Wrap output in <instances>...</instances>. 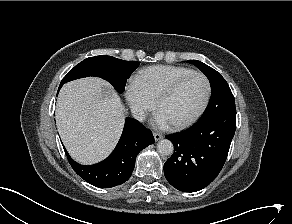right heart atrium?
Segmentation results:
<instances>
[{
  "label": "right heart atrium",
  "mask_w": 292,
  "mask_h": 224,
  "mask_svg": "<svg viewBox=\"0 0 292 224\" xmlns=\"http://www.w3.org/2000/svg\"><path fill=\"white\" fill-rule=\"evenodd\" d=\"M125 96L132 112L139 118L154 108V102L135 81L127 85Z\"/></svg>",
  "instance_id": "right-heart-atrium-1"
}]
</instances>
